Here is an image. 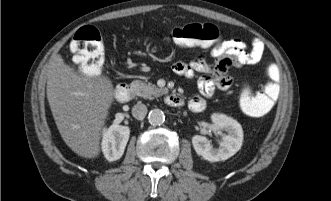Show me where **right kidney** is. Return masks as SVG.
Instances as JSON below:
<instances>
[{"label":"right kidney","instance_id":"obj_1","mask_svg":"<svg viewBox=\"0 0 331 201\" xmlns=\"http://www.w3.org/2000/svg\"><path fill=\"white\" fill-rule=\"evenodd\" d=\"M130 130L127 126L111 125L103 132L102 151L108 161H115L122 157L129 139Z\"/></svg>","mask_w":331,"mask_h":201}]
</instances>
